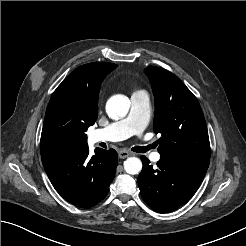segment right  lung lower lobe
<instances>
[{
    "label": "right lung lower lobe",
    "instance_id": "right-lung-lower-lobe-1",
    "mask_svg": "<svg viewBox=\"0 0 246 246\" xmlns=\"http://www.w3.org/2000/svg\"><path fill=\"white\" fill-rule=\"evenodd\" d=\"M41 156L56 191L81 208L92 207L106 197L118 160L114 149H96L90 157L88 145H65Z\"/></svg>",
    "mask_w": 246,
    "mask_h": 246
}]
</instances>
